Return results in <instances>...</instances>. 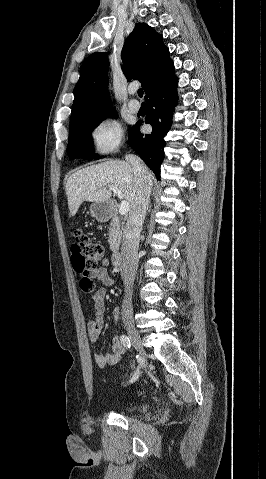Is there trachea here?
<instances>
[{
  "instance_id": "obj_1",
  "label": "trachea",
  "mask_w": 266,
  "mask_h": 479,
  "mask_svg": "<svg viewBox=\"0 0 266 479\" xmlns=\"http://www.w3.org/2000/svg\"><path fill=\"white\" fill-rule=\"evenodd\" d=\"M143 93H144V92H143V89H139V90H138V95H139V97H142V96H143Z\"/></svg>"
}]
</instances>
